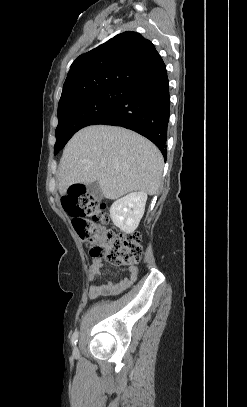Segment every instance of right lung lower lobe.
<instances>
[{"label":"right lung lower lobe","instance_id":"98d812e1","mask_svg":"<svg viewBox=\"0 0 247 407\" xmlns=\"http://www.w3.org/2000/svg\"><path fill=\"white\" fill-rule=\"evenodd\" d=\"M169 115V81L164 68L152 78L138 83L129 95L94 124L131 129L152 141L166 160Z\"/></svg>","mask_w":247,"mask_h":407}]
</instances>
